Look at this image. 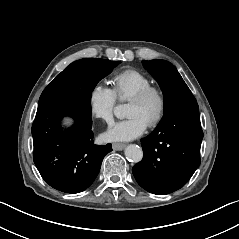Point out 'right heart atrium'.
<instances>
[{"label":"right heart atrium","mask_w":239,"mask_h":239,"mask_svg":"<svg viewBox=\"0 0 239 239\" xmlns=\"http://www.w3.org/2000/svg\"><path fill=\"white\" fill-rule=\"evenodd\" d=\"M117 103L113 88L100 82L93 84L88 91V108L94 118L111 121Z\"/></svg>","instance_id":"1"}]
</instances>
